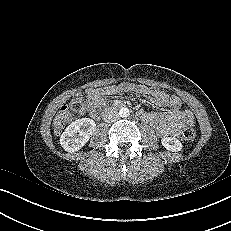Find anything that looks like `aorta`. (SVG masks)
Wrapping results in <instances>:
<instances>
[{"mask_svg":"<svg viewBox=\"0 0 231 231\" xmlns=\"http://www.w3.org/2000/svg\"><path fill=\"white\" fill-rule=\"evenodd\" d=\"M129 109L127 108V107H123V108H121L120 110H119V115H120V117H122V118H126V117H128L129 116Z\"/></svg>","mask_w":231,"mask_h":231,"instance_id":"762f6f07","label":"aorta"}]
</instances>
